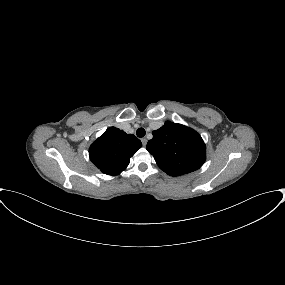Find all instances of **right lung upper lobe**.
Wrapping results in <instances>:
<instances>
[{"label":"right lung upper lobe","mask_w":285,"mask_h":285,"mask_svg":"<svg viewBox=\"0 0 285 285\" xmlns=\"http://www.w3.org/2000/svg\"><path fill=\"white\" fill-rule=\"evenodd\" d=\"M142 147L141 141L115 127L108 128L90 147V160L107 175L121 173Z\"/></svg>","instance_id":"right-lung-upper-lobe-1"}]
</instances>
